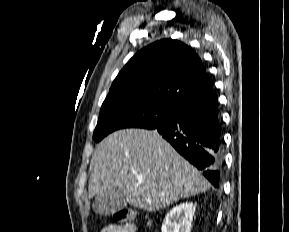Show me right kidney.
Instances as JSON below:
<instances>
[{
  "label": "right kidney",
  "instance_id": "right-kidney-1",
  "mask_svg": "<svg viewBox=\"0 0 289 232\" xmlns=\"http://www.w3.org/2000/svg\"><path fill=\"white\" fill-rule=\"evenodd\" d=\"M196 205L192 202L173 207L165 216L162 232H190Z\"/></svg>",
  "mask_w": 289,
  "mask_h": 232
}]
</instances>
